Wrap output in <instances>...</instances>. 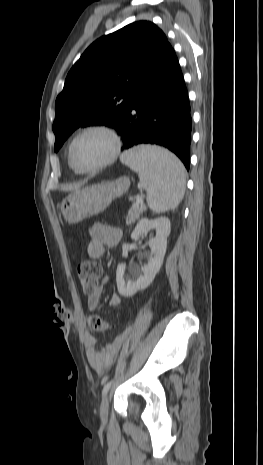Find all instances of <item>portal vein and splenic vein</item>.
Listing matches in <instances>:
<instances>
[{"instance_id": "18ae733b", "label": "portal vein and splenic vein", "mask_w": 263, "mask_h": 465, "mask_svg": "<svg viewBox=\"0 0 263 465\" xmlns=\"http://www.w3.org/2000/svg\"><path fill=\"white\" fill-rule=\"evenodd\" d=\"M142 203H143L142 198L139 195H137L136 196V202L134 203V205L137 206V205L142 204Z\"/></svg>"}]
</instances>
